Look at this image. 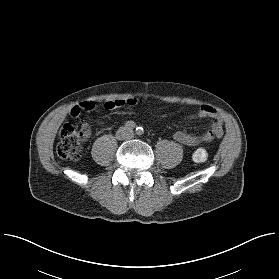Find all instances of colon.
<instances>
[{
    "label": "colon",
    "instance_id": "5ec220e1",
    "mask_svg": "<svg viewBox=\"0 0 279 279\" xmlns=\"http://www.w3.org/2000/svg\"><path fill=\"white\" fill-rule=\"evenodd\" d=\"M212 117H217L216 110L206 111ZM222 134L221 124H214L204 136V140L210 141ZM88 136L87 125L81 124H63L59 130V139L57 143V150L62 158H72L73 155H80L82 152V142ZM207 150L205 147H199L194 153L195 161L201 162L207 159Z\"/></svg>",
    "mask_w": 279,
    "mask_h": 279
}]
</instances>
